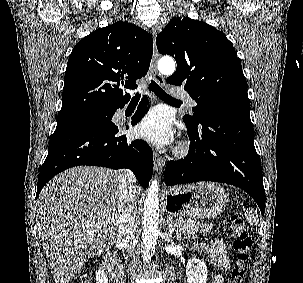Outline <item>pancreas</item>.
<instances>
[{"label":"pancreas","mask_w":303,"mask_h":283,"mask_svg":"<svg viewBox=\"0 0 303 283\" xmlns=\"http://www.w3.org/2000/svg\"><path fill=\"white\" fill-rule=\"evenodd\" d=\"M176 223L179 224V227L182 231L186 232L189 235L194 233H206L212 228V225L210 224H203L198 221L186 219L183 217L177 218Z\"/></svg>","instance_id":"pancreas-1"}]
</instances>
